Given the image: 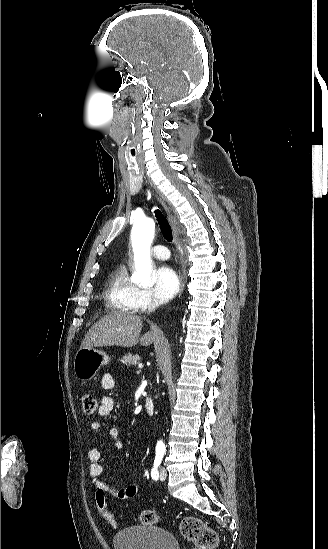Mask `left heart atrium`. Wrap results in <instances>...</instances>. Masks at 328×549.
I'll use <instances>...</instances> for the list:
<instances>
[{"label": "left heart atrium", "instance_id": "left-heart-atrium-1", "mask_svg": "<svg viewBox=\"0 0 328 549\" xmlns=\"http://www.w3.org/2000/svg\"><path fill=\"white\" fill-rule=\"evenodd\" d=\"M179 289L176 273L169 266L159 268L155 276V290L164 301L172 298Z\"/></svg>", "mask_w": 328, "mask_h": 549}]
</instances>
